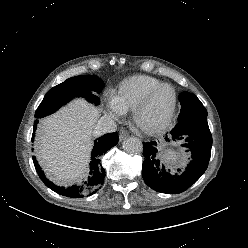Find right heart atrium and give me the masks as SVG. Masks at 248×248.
<instances>
[{
	"instance_id": "d8ad5b80",
	"label": "right heart atrium",
	"mask_w": 248,
	"mask_h": 248,
	"mask_svg": "<svg viewBox=\"0 0 248 248\" xmlns=\"http://www.w3.org/2000/svg\"><path fill=\"white\" fill-rule=\"evenodd\" d=\"M107 112L113 119L116 120L121 119L124 115V112L117 105L113 96L107 98Z\"/></svg>"
}]
</instances>
